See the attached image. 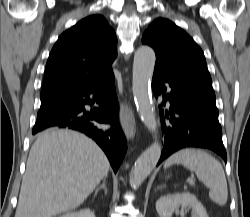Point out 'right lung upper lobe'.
<instances>
[{
    "instance_id": "obj_1",
    "label": "right lung upper lobe",
    "mask_w": 250,
    "mask_h": 217,
    "mask_svg": "<svg viewBox=\"0 0 250 217\" xmlns=\"http://www.w3.org/2000/svg\"><path fill=\"white\" fill-rule=\"evenodd\" d=\"M114 30L101 15H91L65 31L49 55L41 105L85 90L113 74L117 56Z\"/></svg>"
}]
</instances>
